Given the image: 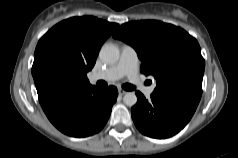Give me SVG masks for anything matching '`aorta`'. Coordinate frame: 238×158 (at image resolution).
<instances>
[{
  "instance_id": "obj_1",
  "label": "aorta",
  "mask_w": 238,
  "mask_h": 158,
  "mask_svg": "<svg viewBox=\"0 0 238 158\" xmlns=\"http://www.w3.org/2000/svg\"><path fill=\"white\" fill-rule=\"evenodd\" d=\"M101 60L107 64H114L119 60L120 51L114 44H104L99 52ZM123 101L127 106H134L137 103V96L134 92H127Z\"/></svg>"
}]
</instances>
